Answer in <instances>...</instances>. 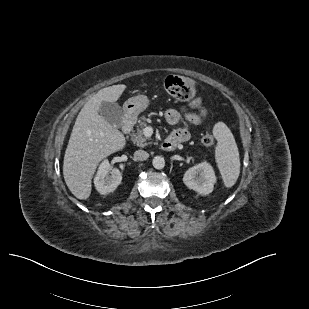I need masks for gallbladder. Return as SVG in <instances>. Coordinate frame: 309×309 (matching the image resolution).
Returning <instances> with one entry per match:
<instances>
[{"label":"gallbladder","instance_id":"1","mask_svg":"<svg viewBox=\"0 0 309 309\" xmlns=\"http://www.w3.org/2000/svg\"><path fill=\"white\" fill-rule=\"evenodd\" d=\"M99 114L114 127L119 128L122 125L123 112L115 102H102Z\"/></svg>","mask_w":309,"mask_h":309}]
</instances>
